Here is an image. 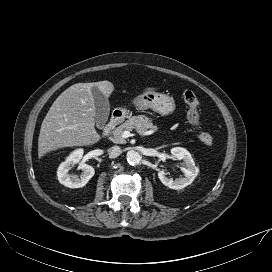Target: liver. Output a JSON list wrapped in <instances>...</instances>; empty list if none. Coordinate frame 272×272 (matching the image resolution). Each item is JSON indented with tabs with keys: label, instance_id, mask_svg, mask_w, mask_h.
I'll return each instance as SVG.
<instances>
[{
	"label": "liver",
	"instance_id": "6515ba94",
	"mask_svg": "<svg viewBox=\"0 0 272 272\" xmlns=\"http://www.w3.org/2000/svg\"><path fill=\"white\" fill-rule=\"evenodd\" d=\"M94 86L107 98L114 91V85L107 80L76 83L57 97L41 125L39 158L60 148L89 146L101 139L95 129L96 109L91 91ZM144 91H154V88Z\"/></svg>",
	"mask_w": 272,
	"mask_h": 272
}]
</instances>
